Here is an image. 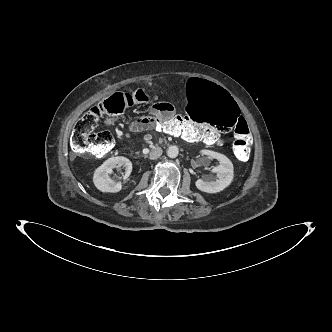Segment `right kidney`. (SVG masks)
I'll return each instance as SVG.
<instances>
[{
	"mask_svg": "<svg viewBox=\"0 0 332 332\" xmlns=\"http://www.w3.org/2000/svg\"><path fill=\"white\" fill-rule=\"evenodd\" d=\"M125 167L123 179H127L132 172L131 161L123 156H116L107 159L99 166L93 175V183L95 187L102 192H119L122 188L121 182H115L110 178V174L116 167Z\"/></svg>",
	"mask_w": 332,
	"mask_h": 332,
	"instance_id": "1",
	"label": "right kidney"
}]
</instances>
